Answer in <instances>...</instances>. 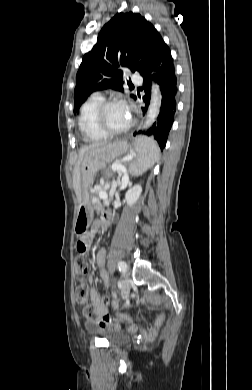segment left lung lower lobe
I'll list each match as a JSON object with an SVG mask.
<instances>
[{
    "label": "left lung lower lobe",
    "instance_id": "left-lung-lower-lobe-1",
    "mask_svg": "<svg viewBox=\"0 0 252 390\" xmlns=\"http://www.w3.org/2000/svg\"><path fill=\"white\" fill-rule=\"evenodd\" d=\"M141 75L143 77L142 89L145 91L143 100L146 105L150 103L152 80L160 85L162 102L157 121L143 133L154 138L161 150H163L174 121L178 90L173 58L169 47L164 41L159 44L148 66ZM142 110L146 112L147 106L143 107Z\"/></svg>",
    "mask_w": 252,
    "mask_h": 390
}]
</instances>
